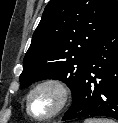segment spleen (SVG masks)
I'll return each instance as SVG.
<instances>
[{
	"label": "spleen",
	"mask_w": 118,
	"mask_h": 123,
	"mask_svg": "<svg viewBox=\"0 0 118 123\" xmlns=\"http://www.w3.org/2000/svg\"><path fill=\"white\" fill-rule=\"evenodd\" d=\"M84 123H116L114 120L108 118H87Z\"/></svg>",
	"instance_id": "1"
}]
</instances>
